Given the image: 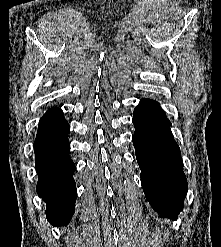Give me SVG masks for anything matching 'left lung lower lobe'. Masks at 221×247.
Returning <instances> with one entry per match:
<instances>
[{
  "instance_id": "1",
  "label": "left lung lower lobe",
  "mask_w": 221,
  "mask_h": 247,
  "mask_svg": "<svg viewBox=\"0 0 221 247\" xmlns=\"http://www.w3.org/2000/svg\"><path fill=\"white\" fill-rule=\"evenodd\" d=\"M132 141L145 196L160 217L177 218L188 186L171 122L156 101L142 99L134 109Z\"/></svg>"
}]
</instances>
